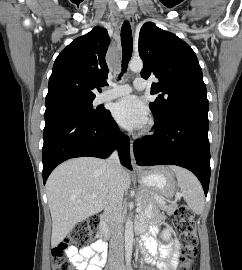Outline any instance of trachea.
I'll use <instances>...</instances> for the list:
<instances>
[{"instance_id":"3493384b","label":"trachea","mask_w":242,"mask_h":270,"mask_svg":"<svg viewBox=\"0 0 242 270\" xmlns=\"http://www.w3.org/2000/svg\"><path fill=\"white\" fill-rule=\"evenodd\" d=\"M121 44L123 50L122 72H126L128 62L132 56V49H133L132 32L128 21H125L121 28Z\"/></svg>"}]
</instances>
